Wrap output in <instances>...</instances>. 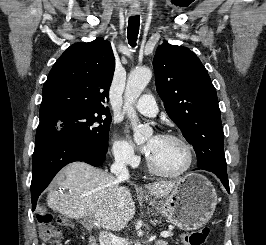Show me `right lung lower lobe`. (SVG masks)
Masks as SVG:
<instances>
[{"label": "right lung lower lobe", "mask_w": 266, "mask_h": 245, "mask_svg": "<svg viewBox=\"0 0 266 245\" xmlns=\"http://www.w3.org/2000/svg\"><path fill=\"white\" fill-rule=\"evenodd\" d=\"M106 153L66 135H56L35 143L32 159V210H35L39 195L62 167L73 161L100 166L105 160Z\"/></svg>", "instance_id": "1"}]
</instances>
